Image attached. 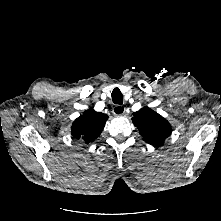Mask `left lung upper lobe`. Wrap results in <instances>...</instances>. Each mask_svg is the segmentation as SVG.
I'll return each mask as SVG.
<instances>
[{"instance_id":"1","label":"left lung upper lobe","mask_w":221,"mask_h":221,"mask_svg":"<svg viewBox=\"0 0 221 221\" xmlns=\"http://www.w3.org/2000/svg\"><path fill=\"white\" fill-rule=\"evenodd\" d=\"M132 121L149 144L160 145L171 134L169 122L147 106L135 112Z\"/></svg>"}]
</instances>
